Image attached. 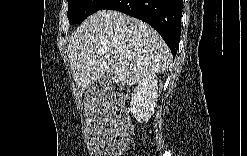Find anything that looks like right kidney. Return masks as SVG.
<instances>
[{
    "instance_id": "1",
    "label": "right kidney",
    "mask_w": 247,
    "mask_h": 156,
    "mask_svg": "<svg viewBox=\"0 0 247 156\" xmlns=\"http://www.w3.org/2000/svg\"><path fill=\"white\" fill-rule=\"evenodd\" d=\"M158 79L152 73L144 77L135 87L130 101V111L135 119L148 122L154 113L157 102Z\"/></svg>"
}]
</instances>
